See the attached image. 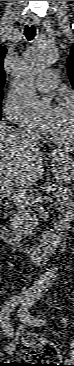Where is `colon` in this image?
<instances>
[{"label":"colon","mask_w":74,"mask_h":366,"mask_svg":"<svg viewBox=\"0 0 74 366\" xmlns=\"http://www.w3.org/2000/svg\"><path fill=\"white\" fill-rule=\"evenodd\" d=\"M23 352L26 359H40L49 362H54L57 356L56 348L49 342L38 338L36 335L26 337ZM40 365L53 366V363Z\"/></svg>","instance_id":"1"}]
</instances>
